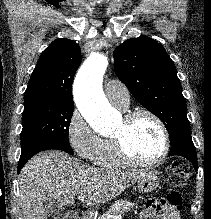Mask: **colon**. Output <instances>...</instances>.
<instances>
[{"mask_svg":"<svg viewBox=\"0 0 211 219\" xmlns=\"http://www.w3.org/2000/svg\"><path fill=\"white\" fill-rule=\"evenodd\" d=\"M168 182L172 186L167 192V201L174 208L180 209L183 196L182 193L177 190L185 182L188 174V166L183 160L173 161L167 170ZM79 212H71L64 215L49 216L47 219H79Z\"/></svg>","mask_w":211,"mask_h":219,"instance_id":"colon-1","label":"colon"}]
</instances>
